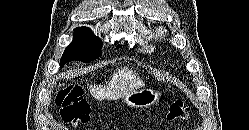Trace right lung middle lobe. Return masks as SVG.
Masks as SVG:
<instances>
[{
	"label": "right lung middle lobe",
	"mask_w": 249,
	"mask_h": 130,
	"mask_svg": "<svg viewBox=\"0 0 249 130\" xmlns=\"http://www.w3.org/2000/svg\"><path fill=\"white\" fill-rule=\"evenodd\" d=\"M102 41L97 38L89 28L78 27L74 30V39L66 47L60 61L63 67L70 61H82L90 63L101 56ZM121 45H117V48Z\"/></svg>",
	"instance_id": "right-lung-middle-lobe-1"
}]
</instances>
